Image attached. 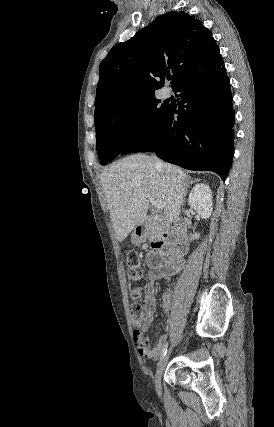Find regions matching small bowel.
Instances as JSON below:
<instances>
[{
  "instance_id": "obj_1",
  "label": "small bowel",
  "mask_w": 274,
  "mask_h": 427,
  "mask_svg": "<svg viewBox=\"0 0 274 427\" xmlns=\"http://www.w3.org/2000/svg\"><path fill=\"white\" fill-rule=\"evenodd\" d=\"M149 276L151 280L159 278H167L179 273L185 263L183 255L179 250H175L173 244L170 243L165 250H152L148 254ZM172 306V298L169 292L163 294V309L169 312ZM143 319L135 323L134 339L138 347L141 357L145 360H155L162 352L167 342V335H161L154 345L148 344L144 332L152 324L155 312L156 301L154 290L149 286L142 301ZM171 327L170 321H167L165 328L168 330Z\"/></svg>"
}]
</instances>
